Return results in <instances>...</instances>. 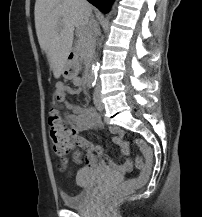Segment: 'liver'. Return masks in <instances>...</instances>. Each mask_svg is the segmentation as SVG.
Here are the masks:
<instances>
[{
    "instance_id": "1",
    "label": "liver",
    "mask_w": 202,
    "mask_h": 217,
    "mask_svg": "<svg viewBox=\"0 0 202 217\" xmlns=\"http://www.w3.org/2000/svg\"><path fill=\"white\" fill-rule=\"evenodd\" d=\"M87 10L82 0H36L35 28L42 51L47 55L54 77L59 78L72 50L75 27L87 28Z\"/></svg>"
}]
</instances>
